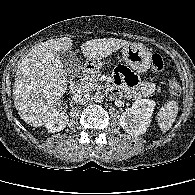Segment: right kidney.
Masks as SVG:
<instances>
[{"label":"right kidney","instance_id":"right-kidney-1","mask_svg":"<svg viewBox=\"0 0 195 195\" xmlns=\"http://www.w3.org/2000/svg\"><path fill=\"white\" fill-rule=\"evenodd\" d=\"M68 124V116L65 112H60L59 110H56L52 114V118L47 121L45 124L46 129L48 132L55 133L59 132L62 129L66 127Z\"/></svg>","mask_w":195,"mask_h":195}]
</instances>
